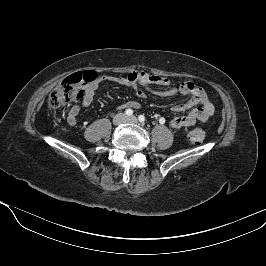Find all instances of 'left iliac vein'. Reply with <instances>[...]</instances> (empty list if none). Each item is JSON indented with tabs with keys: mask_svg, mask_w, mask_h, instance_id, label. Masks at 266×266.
Here are the masks:
<instances>
[{
	"mask_svg": "<svg viewBox=\"0 0 266 266\" xmlns=\"http://www.w3.org/2000/svg\"><path fill=\"white\" fill-rule=\"evenodd\" d=\"M127 121L131 122V123H137V118L135 116H131L127 118Z\"/></svg>",
	"mask_w": 266,
	"mask_h": 266,
	"instance_id": "obj_1",
	"label": "left iliac vein"
}]
</instances>
